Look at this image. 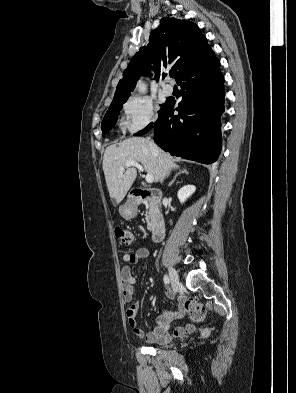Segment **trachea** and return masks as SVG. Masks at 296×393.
Instances as JSON below:
<instances>
[{"label":"trachea","mask_w":296,"mask_h":393,"mask_svg":"<svg viewBox=\"0 0 296 393\" xmlns=\"http://www.w3.org/2000/svg\"><path fill=\"white\" fill-rule=\"evenodd\" d=\"M169 75H170V77L172 78L173 75H174V73H173V72H170Z\"/></svg>","instance_id":"obj_1"}]
</instances>
